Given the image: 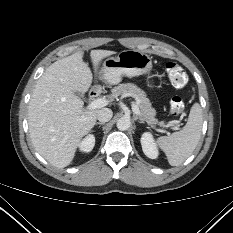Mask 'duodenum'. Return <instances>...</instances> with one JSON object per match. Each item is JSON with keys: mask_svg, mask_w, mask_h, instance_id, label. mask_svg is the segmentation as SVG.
Returning a JSON list of instances; mask_svg holds the SVG:
<instances>
[{"mask_svg": "<svg viewBox=\"0 0 233 233\" xmlns=\"http://www.w3.org/2000/svg\"><path fill=\"white\" fill-rule=\"evenodd\" d=\"M96 95H97L96 90H91L90 93H89L90 98H94V97H96Z\"/></svg>", "mask_w": 233, "mask_h": 233, "instance_id": "duodenum-1", "label": "duodenum"}]
</instances>
